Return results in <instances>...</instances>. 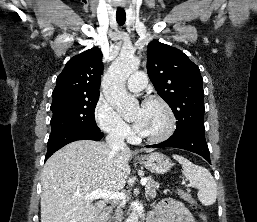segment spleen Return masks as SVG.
<instances>
[{"instance_id": "obj_1", "label": "spleen", "mask_w": 257, "mask_h": 222, "mask_svg": "<svg viewBox=\"0 0 257 222\" xmlns=\"http://www.w3.org/2000/svg\"><path fill=\"white\" fill-rule=\"evenodd\" d=\"M183 168L184 175L189 182L198 187V199L205 206H210L216 202L217 185L211 173L204 167L194 165L188 159L174 155Z\"/></svg>"}]
</instances>
